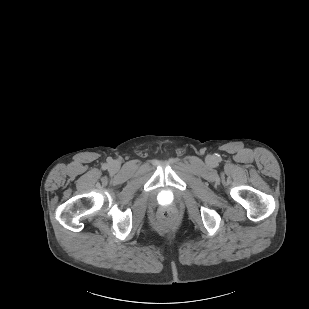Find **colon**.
Returning a JSON list of instances; mask_svg holds the SVG:
<instances>
[{
    "mask_svg": "<svg viewBox=\"0 0 309 309\" xmlns=\"http://www.w3.org/2000/svg\"><path fill=\"white\" fill-rule=\"evenodd\" d=\"M160 220L163 223H170L174 220V214L170 211H163L160 214Z\"/></svg>",
    "mask_w": 309,
    "mask_h": 309,
    "instance_id": "obj_1",
    "label": "colon"
}]
</instances>
